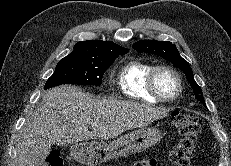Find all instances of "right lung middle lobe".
<instances>
[{
    "label": "right lung middle lobe",
    "instance_id": "obj_1",
    "mask_svg": "<svg viewBox=\"0 0 231 166\" xmlns=\"http://www.w3.org/2000/svg\"><path fill=\"white\" fill-rule=\"evenodd\" d=\"M127 52L105 55L99 58L68 55L61 59L55 72L47 80L45 89L61 84L101 85L106 69L119 55Z\"/></svg>",
    "mask_w": 231,
    "mask_h": 166
}]
</instances>
